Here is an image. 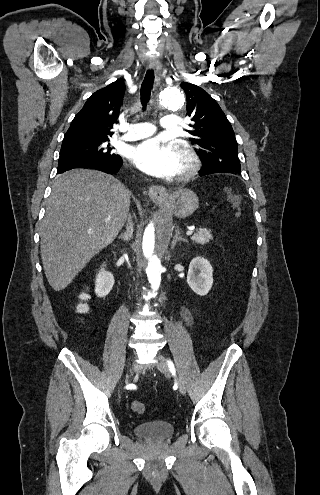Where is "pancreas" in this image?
I'll use <instances>...</instances> for the list:
<instances>
[{"label":"pancreas","mask_w":320,"mask_h":495,"mask_svg":"<svg viewBox=\"0 0 320 495\" xmlns=\"http://www.w3.org/2000/svg\"><path fill=\"white\" fill-rule=\"evenodd\" d=\"M213 239V236L211 235V230H208L206 228H200L192 237L191 240L193 242H196L198 244L204 245L208 243L210 240Z\"/></svg>","instance_id":"obj_1"}]
</instances>
